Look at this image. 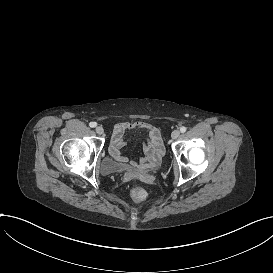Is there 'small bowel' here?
<instances>
[{
	"label": "small bowel",
	"mask_w": 273,
	"mask_h": 273,
	"mask_svg": "<svg viewBox=\"0 0 273 273\" xmlns=\"http://www.w3.org/2000/svg\"><path fill=\"white\" fill-rule=\"evenodd\" d=\"M144 130L149 133V141L145 147L146 156L143 160H128L122 154V148L125 144V136L133 130ZM158 136H156V134ZM154 130L146 122H119L115 125L112 139L109 147L110 155L128 171H142L146 168H155L160 164L161 158L166 155L163 145L160 143L164 140L163 130L157 127Z\"/></svg>",
	"instance_id": "small-bowel-1"
}]
</instances>
